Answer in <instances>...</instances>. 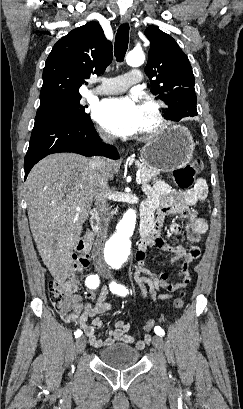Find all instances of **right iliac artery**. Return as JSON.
Listing matches in <instances>:
<instances>
[{
  "mask_svg": "<svg viewBox=\"0 0 243 409\" xmlns=\"http://www.w3.org/2000/svg\"><path fill=\"white\" fill-rule=\"evenodd\" d=\"M99 282H100V280H99V277H98V275L96 274V275H89L87 278H86V281H85V283H86V286L89 288V289H96L98 286H99ZM82 335V331L80 330V329H78V330H76L75 332H74V336H75V338H78V337H80Z\"/></svg>",
  "mask_w": 243,
  "mask_h": 409,
  "instance_id": "1",
  "label": "right iliac artery"
}]
</instances>
